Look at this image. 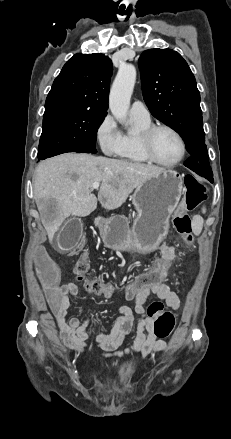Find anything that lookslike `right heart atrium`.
<instances>
[{"label":"right heart atrium","mask_w":231,"mask_h":439,"mask_svg":"<svg viewBox=\"0 0 231 439\" xmlns=\"http://www.w3.org/2000/svg\"><path fill=\"white\" fill-rule=\"evenodd\" d=\"M96 140L105 155H116L121 145V131L115 119L105 115L96 128Z\"/></svg>","instance_id":"1"}]
</instances>
